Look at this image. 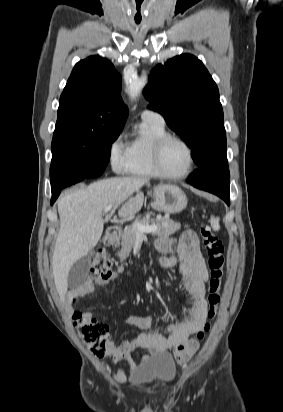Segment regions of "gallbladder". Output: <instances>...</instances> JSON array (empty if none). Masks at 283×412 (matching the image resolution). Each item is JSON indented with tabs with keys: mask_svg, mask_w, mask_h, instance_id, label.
Returning a JSON list of instances; mask_svg holds the SVG:
<instances>
[{
	"mask_svg": "<svg viewBox=\"0 0 283 412\" xmlns=\"http://www.w3.org/2000/svg\"><path fill=\"white\" fill-rule=\"evenodd\" d=\"M92 258L93 252H89L72 265L67 278L69 288L76 289L84 283L88 276Z\"/></svg>",
	"mask_w": 283,
	"mask_h": 412,
	"instance_id": "gallbladder-1",
	"label": "gallbladder"
}]
</instances>
